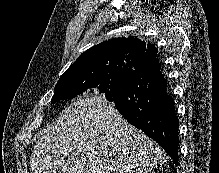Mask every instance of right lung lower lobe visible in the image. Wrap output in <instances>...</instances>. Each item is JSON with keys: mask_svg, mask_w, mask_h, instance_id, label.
Masks as SVG:
<instances>
[{"mask_svg": "<svg viewBox=\"0 0 219 173\" xmlns=\"http://www.w3.org/2000/svg\"><path fill=\"white\" fill-rule=\"evenodd\" d=\"M124 118L155 140L178 166V117L158 61L139 65L104 94Z\"/></svg>", "mask_w": 219, "mask_h": 173, "instance_id": "right-lung-lower-lobe-1", "label": "right lung lower lobe"}]
</instances>
